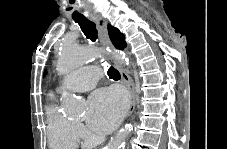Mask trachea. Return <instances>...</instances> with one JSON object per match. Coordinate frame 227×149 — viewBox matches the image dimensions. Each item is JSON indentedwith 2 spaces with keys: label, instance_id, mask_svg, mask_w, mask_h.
<instances>
[{
  "label": "trachea",
  "instance_id": "trachea-1",
  "mask_svg": "<svg viewBox=\"0 0 227 149\" xmlns=\"http://www.w3.org/2000/svg\"><path fill=\"white\" fill-rule=\"evenodd\" d=\"M76 23L80 26L82 32L84 35L90 39L92 42H95L96 39L98 38V32L96 29V25L94 22L88 20V19H83V20H75ZM107 74L109 78L113 80H119L120 79V73L117 69L114 67H109Z\"/></svg>",
  "mask_w": 227,
  "mask_h": 149
}]
</instances>
